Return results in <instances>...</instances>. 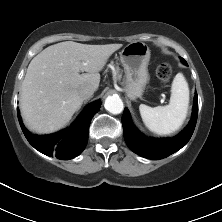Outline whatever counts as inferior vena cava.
<instances>
[{
	"mask_svg": "<svg viewBox=\"0 0 222 222\" xmlns=\"http://www.w3.org/2000/svg\"><path fill=\"white\" fill-rule=\"evenodd\" d=\"M95 92V88L92 85H85L79 89V94L82 98L88 99Z\"/></svg>",
	"mask_w": 222,
	"mask_h": 222,
	"instance_id": "602c4592",
	"label": "inferior vena cava"
}]
</instances>
